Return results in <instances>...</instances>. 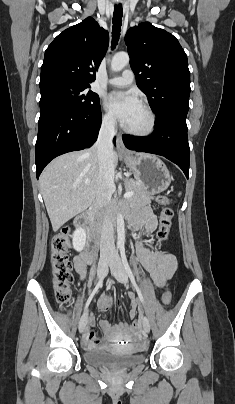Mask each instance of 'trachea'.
<instances>
[{"mask_svg": "<svg viewBox=\"0 0 235 404\" xmlns=\"http://www.w3.org/2000/svg\"><path fill=\"white\" fill-rule=\"evenodd\" d=\"M122 15H123L122 5L121 4L115 5L113 13V26H112V49L115 48L120 37Z\"/></svg>", "mask_w": 235, "mask_h": 404, "instance_id": "3493384b", "label": "trachea"}]
</instances>
